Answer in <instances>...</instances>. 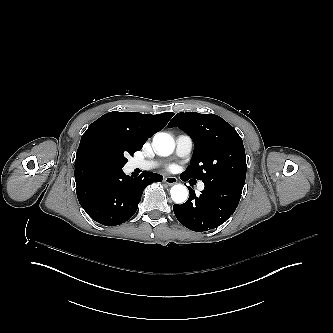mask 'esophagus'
<instances>
[{
    "mask_svg": "<svg viewBox=\"0 0 333 333\" xmlns=\"http://www.w3.org/2000/svg\"><path fill=\"white\" fill-rule=\"evenodd\" d=\"M178 179L176 177H166L164 179V182L169 184V185H173L175 183H177Z\"/></svg>",
    "mask_w": 333,
    "mask_h": 333,
    "instance_id": "esophagus-1",
    "label": "esophagus"
}]
</instances>
